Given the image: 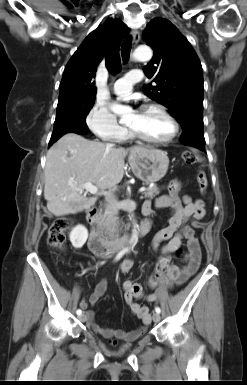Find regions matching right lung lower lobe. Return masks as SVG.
I'll return each mask as SVG.
<instances>
[{
    "mask_svg": "<svg viewBox=\"0 0 247 385\" xmlns=\"http://www.w3.org/2000/svg\"><path fill=\"white\" fill-rule=\"evenodd\" d=\"M87 132H88V128L73 127V128L65 129V130L57 132V133H52V136H51V139H50V142H49V146H51L62 135L66 134V133H76V134H79V135H84V134H87Z\"/></svg>",
    "mask_w": 247,
    "mask_h": 385,
    "instance_id": "obj_1",
    "label": "right lung lower lobe"
}]
</instances>
